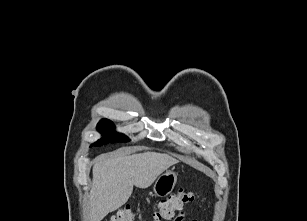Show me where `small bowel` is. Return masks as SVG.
Segmentation results:
<instances>
[{
	"instance_id": "1",
	"label": "small bowel",
	"mask_w": 307,
	"mask_h": 221,
	"mask_svg": "<svg viewBox=\"0 0 307 221\" xmlns=\"http://www.w3.org/2000/svg\"><path fill=\"white\" fill-rule=\"evenodd\" d=\"M172 221H186L185 214L183 212H180L179 214H177L176 216L172 218ZM192 221H196V220L194 219Z\"/></svg>"
}]
</instances>
